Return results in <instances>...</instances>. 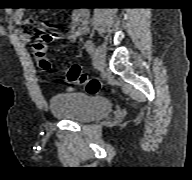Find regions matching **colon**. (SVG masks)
Wrapping results in <instances>:
<instances>
[{
    "label": "colon",
    "instance_id": "1",
    "mask_svg": "<svg viewBox=\"0 0 192 180\" xmlns=\"http://www.w3.org/2000/svg\"><path fill=\"white\" fill-rule=\"evenodd\" d=\"M55 32L40 34L35 37L32 45L33 53L38 61V66L43 71H48L51 67L50 60L46 56L48 44L57 39ZM65 80L70 84L83 85L89 94H97L100 90L98 80L89 78L83 73L79 65H70L65 69Z\"/></svg>",
    "mask_w": 192,
    "mask_h": 180
}]
</instances>
